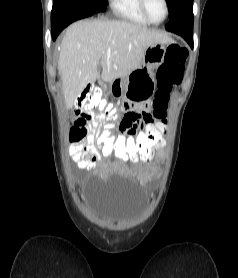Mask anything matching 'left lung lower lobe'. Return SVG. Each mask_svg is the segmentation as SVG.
<instances>
[{
	"instance_id": "0a47b994",
	"label": "left lung lower lobe",
	"mask_w": 238,
	"mask_h": 278,
	"mask_svg": "<svg viewBox=\"0 0 238 278\" xmlns=\"http://www.w3.org/2000/svg\"><path fill=\"white\" fill-rule=\"evenodd\" d=\"M168 31L182 36L193 46V1L184 3L166 26Z\"/></svg>"
}]
</instances>
